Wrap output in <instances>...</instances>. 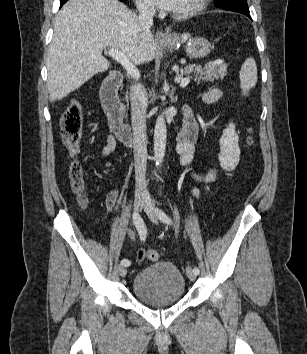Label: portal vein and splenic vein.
<instances>
[{
    "label": "portal vein and splenic vein",
    "mask_w": 307,
    "mask_h": 354,
    "mask_svg": "<svg viewBox=\"0 0 307 354\" xmlns=\"http://www.w3.org/2000/svg\"><path fill=\"white\" fill-rule=\"evenodd\" d=\"M108 55L114 59L115 61L119 62L128 72V74L136 79L139 78L140 74L139 71L136 69L135 65L127 58V56L117 49H109ZM216 64L223 63L222 60L214 62ZM175 81L180 83V87H186L190 82V77L179 78L176 77Z\"/></svg>",
    "instance_id": "portal-vein-and-splenic-vein-1"
}]
</instances>
